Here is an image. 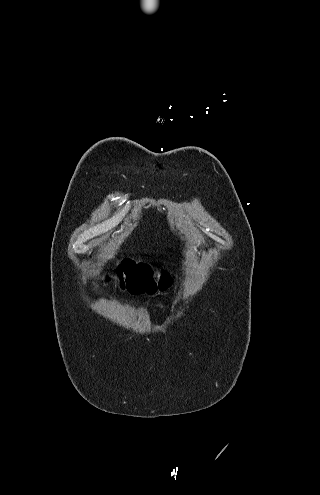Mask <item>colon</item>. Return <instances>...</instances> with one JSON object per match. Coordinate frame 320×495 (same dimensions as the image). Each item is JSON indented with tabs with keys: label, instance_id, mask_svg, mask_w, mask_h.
<instances>
[{
	"label": "colon",
	"instance_id": "colon-1",
	"mask_svg": "<svg viewBox=\"0 0 320 495\" xmlns=\"http://www.w3.org/2000/svg\"><path fill=\"white\" fill-rule=\"evenodd\" d=\"M117 274L122 279V286L133 292L153 291L155 288L151 268L144 263L127 258L119 265ZM167 281L168 278L164 276L160 284L164 286Z\"/></svg>",
	"mask_w": 320,
	"mask_h": 495
}]
</instances>
